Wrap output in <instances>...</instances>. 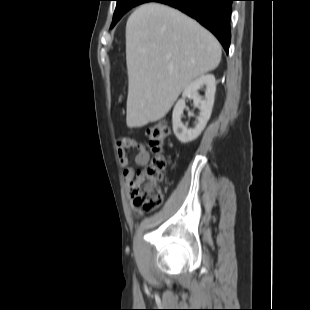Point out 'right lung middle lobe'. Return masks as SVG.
<instances>
[{
    "instance_id": "dd1d6c3e",
    "label": "right lung middle lobe",
    "mask_w": 310,
    "mask_h": 310,
    "mask_svg": "<svg viewBox=\"0 0 310 310\" xmlns=\"http://www.w3.org/2000/svg\"><path fill=\"white\" fill-rule=\"evenodd\" d=\"M117 6L114 12L111 28L119 21V19L131 8L152 0H116Z\"/></svg>"
}]
</instances>
